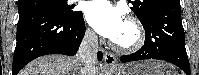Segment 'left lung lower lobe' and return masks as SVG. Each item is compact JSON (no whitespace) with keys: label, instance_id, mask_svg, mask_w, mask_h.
Returning <instances> with one entry per match:
<instances>
[{"label":"left lung lower lobe","instance_id":"0a47b994","mask_svg":"<svg viewBox=\"0 0 199 75\" xmlns=\"http://www.w3.org/2000/svg\"><path fill=\"white\" fill-rule=\"evenodd\" d=\"M142 25L146 35L144 46L133 54L121 56L120 61L159 59L175 64L190 75L180 2L159 6Z\"/></svg>","mask_w":199,"mask_h":75}]
</instances>
